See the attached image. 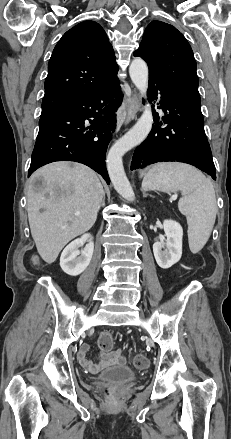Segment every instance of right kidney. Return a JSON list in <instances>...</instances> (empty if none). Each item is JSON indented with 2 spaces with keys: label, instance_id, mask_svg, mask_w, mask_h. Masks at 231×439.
Returning a JSON list of instances; mask_svg holds the SVG:
<instances>
[{
  "label": "right kidney",
  "instance_id": "ca27d5eb",
  "mask_svg": "<svg viewBox=\"0 0 231 439\" xmlns=\"http://www.w3.org/2000/svg\"><path fill=\"white\" fill-rule=\"evenodd\" d=\"M86 241L88 242L86 246L79 250ZM93 251L94 242L90 234H85L81 238L72 241L61 254L60 266L62 270L70 276L81 274L88 267Z\"/></svg>",
  "mask_w": 231,
  "mask_h": 439
}]
</instances>
